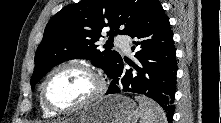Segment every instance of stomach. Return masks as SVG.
Here are the masks:
<instances>
[{
	"mask_svg": "<svg viewBox=\"0 0 221 123\" xmlns=\"http://www.w3.org/2000/svg\"><path fill=\"white\" fill-rule=\"evenodd\" d=\"M139 107L129 97L105 96L74 113L62 123H137Z\"/></svg>",
	"mask_w": 221,
	"mask_h": 123,
	"instance_id": "stomach-1",
	"label": "stomach"
}]
</instances>
